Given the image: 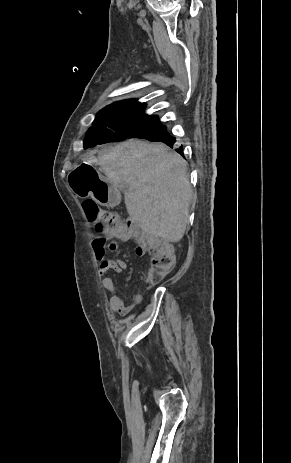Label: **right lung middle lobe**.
Here are the masks:
<instances>
[{"instance_id":"1","label":"right lung middle lobe","mask_w":291,"mask_h":463,"mask_svg":"<svg viewBox=\"0 0 291 463\" xmlns=\"http://www.w3.org/2000/svg\"><path fill=\"white\" fill-rule=\"evenodd\" d=\"M166 130L158 118L107 114L100 111L86 133L84 148L120 142L129 138L147 139Z\"/></svg>"}]
</instances>
